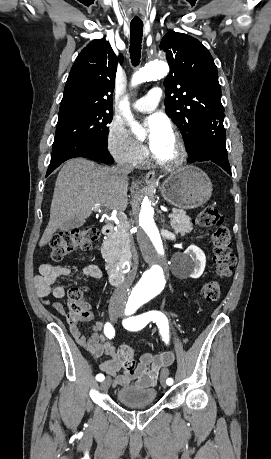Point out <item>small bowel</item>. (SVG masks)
I'll return each mask as SVG.
<instances>
[{
	"instance_id": "c3829d8e",
	"label": "small bowel",
	"mask_w": 271,
	"mask_h": 459,
	"mask_svg": "<svg viewBox=\"0 0 271 459\" xmlns=\"http://www.w3.org/2000/svg\"><path fill=\"white\" fill-rule=\"evenodd\" d=\"M71 275H73V271L69 267L46 263L41 266L39 274L35 277V287L38 296L43 299L45 304L51 306L62 316L66 315L62 304L58 302L50 303L47 298L49 296H54L58 299L63 298L66 290L63 286L56 285V282L60 278ZM81 276H89L95 281H98L102 273L96 265H88L80 271L77 277ZM82 320L93 323L92 332L89 336L83 335L79 327L75 324H70L69 331L76 342L92 355L95 357H106L100 363L99 368L111 379L114 386H126L130 383H134L140 387L155 386L161 368L173 363L174 355L172 352H164L158 355L146 353L141 356L137 366L133 370H127L120 362L113 343L103 333L102 323L94 317L90 309L89 315Z\"/></svg>"
}]
</instances>
